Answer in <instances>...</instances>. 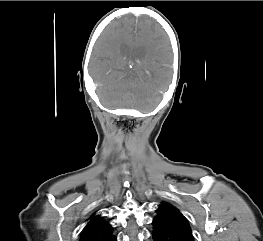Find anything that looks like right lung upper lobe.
I'll list each match as a JSON object with an SVG mask.
<instances>
[{
  "label": "right lung upper lobe",
  "mask_w": 263,
  "mask_h": 241,
  "mask_svg": "<svg viewBox=\"0 0 263 241\" xmlns=\"http://www.w3.org/2000/svg\"><path fill=\"white\" fill-rule=\"evenodd\" d=\"M112 226L100 215L93 214L84 227L80 241H113Z\"/></svg>",
  "instance_id": "obj_1"
}]
</instances>
